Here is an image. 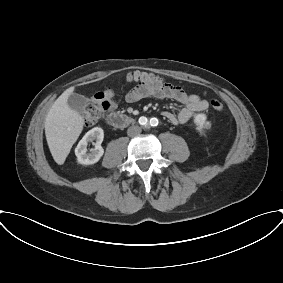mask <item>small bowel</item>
Returning <instances> with one entry per match:
<instances>
[{"mask_svg":"<svg viewBox=\"0 0 283 283\" xmlns=\"http://www.w3.org/2000/svg\"><path fill=\"white\" fill-rule=\"evenodd\" d=\"M99 94L108 101L109 111H113L117 108V103L114 100V92L112 90H106ZM148 96H153L159 99H172L183 105L177 113L170 111H164L162 113L169 122L175 125L187 123L195 113L204 111L208 108V102L198 95L189 94L180 86L164 83L155 89L137 84L124 95V100L127 103H136Z\"/></svg>","mask_w":283,"mask_h":283,"instance_id":"c3829d8e","label":"small bowel"}]
</instances>
